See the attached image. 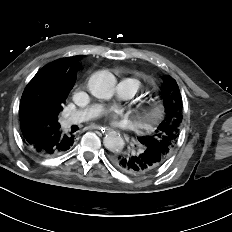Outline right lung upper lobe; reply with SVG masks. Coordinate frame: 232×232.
<instances>
[{
	"instance_id": "right-lung-upper-lobe-1",
	"label": "right lung upper lobe",
	"mask_w": 232,
	"mask_h": 232,
	"mask_svg": "<svg viewBox=\"0 0 232 232\" xmlns=\"http://www.w3.org/2000/svg\"><path fill=\"white\" fill-rule=\"evenodd\" d=\"M80 57L78 55L59 59L40 69L23 92L20 105L26 112L19 113L20 117H30L41 129L45 127L53 129L60 126L52 120L42 95L52 93L58 100L65 103L76 81Z\"/></svg>"
}]
</instances>
